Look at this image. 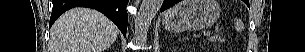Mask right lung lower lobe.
Segmentation results:
<instances>
[{"label": "right lung lower lobe", "mask_w": 305, "mask_h": 52, "mask_svg": "<svg viewBox=\"0 0 305 52\" xmlns=\"http://www.w3.org/2000/svg\"><path fill=\"white\" fill-rule=\"evenodd\" d=\"M129 0H53L50 26L65 11L74 7H88L96 9L112 20L126 36L128 15L126 5Z\"/></svg>", "instance_id": "obj_1"}]
</instances>
